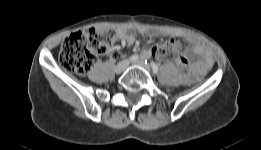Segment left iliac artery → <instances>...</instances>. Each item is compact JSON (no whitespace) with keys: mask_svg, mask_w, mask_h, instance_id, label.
<instances>
[{"mask_svg":"<svg viewBox=\"0 0 261 150\" xmlns=\"http://www.w3.org/2000/svg\"><path fill=\"white\" fill-rule=\"evenodd\" d=\"M146 63V61H145ZM151 67H152V70L154 73H157L158 72V65L154 62H151Z\"/></svg>","mask_w":261,"mask_h":150,"instance_id":"44dca946","label":"left iliac artery"}]
</instances>
